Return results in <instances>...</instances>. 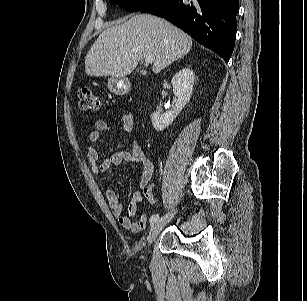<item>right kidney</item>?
Segmentation results:
<instances>
[{"instance_id": "right-kidney-1", "label": "right kidney", "mask_w": 307, "mask_h": 301, "mask_svg": "<svg viewBox=\"0 0 307 301\" xmlns=\"http://www.w3.org/2000/svg\"><path fill=\"white\" fill-rule=\"evenodd\" d=\"M194 79L193 70L189 67L181 69L173 76L171 84L173 86V93L178 100L173 110L167 111L164 114H161L159 111L152 114L151 121L155 130L163 131L176 119L191 97Z\"/></svg>"}]
</instances>
